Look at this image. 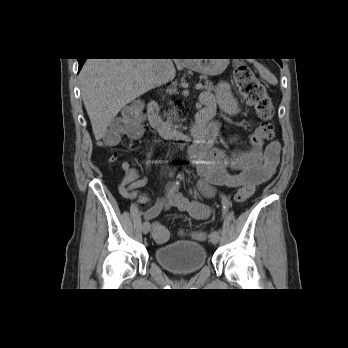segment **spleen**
<instances>
[{
    "label": "spleen",
    "mask_w": 348,
    "mask_h": 348,
    "mask_svg": "<svg viewBox=\"0 0 348 348\" xmlns=\"http://www.w3.org/2000/svg\"><path fill=\"white\" fill-rule=\"evenodd\" d=\"M251 62L257 68L259 75L261 76L262 79H264L265 81H267L268 83L272 85L277 84L278 81L276 77L269 70H267L263 65L259 64L258 62L254 60H251Z\"/></svg>",
    "instance_id": "spleen-1"
}]
</instances>
